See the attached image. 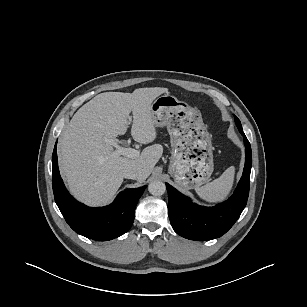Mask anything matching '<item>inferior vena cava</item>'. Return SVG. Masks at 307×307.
<instances>
[{"mask_svg":"<svg viewBox=\"0 0 307 307\" xmlns=\"http://www.w3.org/2000/svg\"><path fill=\"white\" fill-rule=\"evenodd\" d=\"M122 175L124 178L134 179V180H138L141 176L139 171H137L136 169H132V168H127L123 170Z\"/></svg>","mask_w":307,"mask_h":307,"instance_id":"obj_1","label":"inferior vena cava"}]
</instances>
